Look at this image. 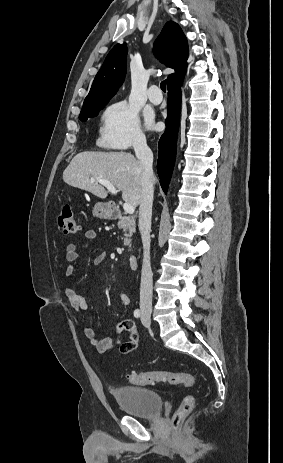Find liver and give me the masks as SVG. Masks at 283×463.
Returning <instances> with one entry per match:
<instances>
[{"mask_svg":"<svg viewBox=\"0 0 283 463\" xmlns=\"http://www.w3.org/2000/svg\"><path fill=\"white\" fill-rule=\"evenodd\" d=\"M91 178L109 181L122 192V199L137 206L141 199L142 169L139 160L127 152H89L77 154L63 172L68 185L105 199L108 191Z\"/></svg>","mask_w":283,"mask_h":463,"instance_id":"6515ba94","label":"liver"}]
</instances>
